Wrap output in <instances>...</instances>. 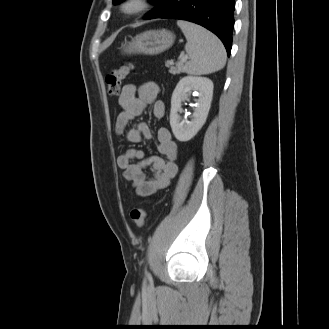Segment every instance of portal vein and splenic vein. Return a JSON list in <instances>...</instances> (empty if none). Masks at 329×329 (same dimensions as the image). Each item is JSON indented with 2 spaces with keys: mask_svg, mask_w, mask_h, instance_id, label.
Instances as JSON below:
<instances>
[{
  "mask_svg": "<svg viewBox=\"0 0 329 329\" xmlns=\"http://www.w3.org/2000/svg\"><path fill=\"white\" fill-rule=\"evenodd\" d=\"M187 59H188L187 56H183V57H181L180 62L184 63L187 61Z\"/></svg>",
  "mask_w": 329,
  "mask_h": 329,
  "instance_id": "portal-vein-and-splenic-vein-1",
  "label": "portal vein and splenic vein"
}]
</instances>
